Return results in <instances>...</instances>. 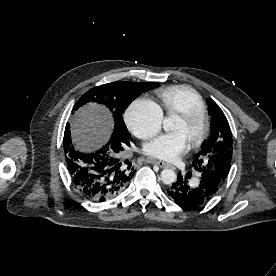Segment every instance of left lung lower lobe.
I'll return each mask as SVG.
<instances>
[{"instance_id": "1", "label": "left lung lower lobe", "mask_w": 276, "mask_h": 276, "mask_svg": "<svg viewBox=\"0 0 276 276\" xmlns=\"http://www.w3.org/2000/svg\"><path fill=\"white\" fill-rule=\"evenodd\" d=\"M192 174L188 172L185 177L178 175V179L168 189V195L182 208H198L207 203L220 188L218 178L210 173H199L194 185H189L188 179Z\"/></svg>"}]
</instances>
